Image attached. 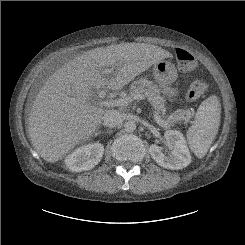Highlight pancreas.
Segmentation results:
<instances>
[{"instance_id":"1","label":"pancreas","mask_w":245,"mask_h":245,"mask_svg":"<svg viewBox=\"0 0 245 245\" xmlns=\"http://www.w3.org/2000/svg\"><path fill=\"white\" fill-rule=\"evenodd\" d=\"M137 93L148 99L154 111L161 115L169 126H173L176 122L184 121V123H188L190 121L192 116L190 110H178L170 116H165V99L161 97L160 89L152 81L145 78L133 81L130 86V94Z\"/></svg>"}]
</instances>
